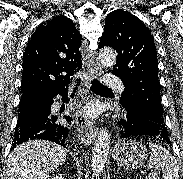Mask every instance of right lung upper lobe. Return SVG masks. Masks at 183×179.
I'll use <instances>...</instances> for the list:
<instances>
[{"label":"right lung upper lobe","instance_id":"obj_1","mask_svg":"<svg viewBox=\"0 0 183 179\" xmlns=\"http://www.w3.org/2000/svg\"><path fill=\"white\" fill-rule=\"evenodd\" d=\"M81 35L73 22L60 15L32 34L23 57L22 96L41 88L60 89L82 67Z\"/></svg>","mask_w":183,"mask_h":179}]
</instances>
